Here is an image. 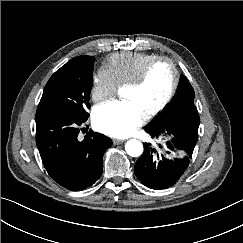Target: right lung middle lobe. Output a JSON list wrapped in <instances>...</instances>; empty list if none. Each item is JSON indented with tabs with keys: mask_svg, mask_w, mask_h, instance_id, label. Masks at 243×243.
<instances>
[{
	"mask_svg": "<svg viewBox=\"0 0 243 243\" xmlns=\"http://www.w3.org/2000/svg\"><path fill=\"white\" fill-rule=\"evenodd\" d=\"M93 68L94 58L88 55L75 57L63 65L46 84L36 115L88 117Z\"/></svg>",
	"mask_w": 243,
	"mask_h": 243,
	"instance_id": "right-lung-middle-lobe-1",
	"label": "right lung middle lobe"
}]
</instances>
